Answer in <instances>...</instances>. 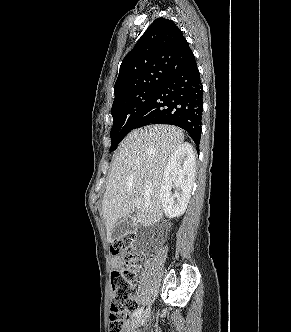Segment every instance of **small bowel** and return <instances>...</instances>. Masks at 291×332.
<instances>
[{
    "instance_id": "1",
    "label": "small bowel",
    "mask_w": 291,
    "mask_h": 332,
    "mask_svg": "<svg viewBox=\"0 0 291 332\" xmlns=\"http://www.w3.org/2000/svg\"><path fill=\"white\" fill-rule=\"evenodd\" d=\"M112 265H113L114 267H119V266H121V261H120L119 259L115 258V259H113V261H112Z\"/></svg>"
}]
</instances>
